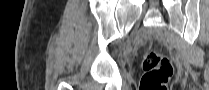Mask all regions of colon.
Instances as JSON below:
<instances>
[{
    "label": "colon",
    "mask_w": 209,
    "mask_h": 90,
    "mask_svg": "<svg viewBox=\"0 0 209 90\" xmlns=\"http://www.w3.org/2000/svg\"><path fill=\"white\" fill-rule=\"evenodd\" d=\"M142 68L139 90H168L173 64L167 56L148 51L143 56Z\"/></svg>",
    "instance_id": "obj_1"
}]
</instances>
